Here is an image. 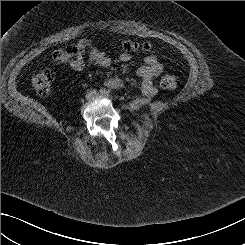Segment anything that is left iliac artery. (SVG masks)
<instances>
[{"instance_id":"obj_1","label":"left iliac artery","mask_w":245,"mask_h":245,"mask_svg":"<svg viewBox=\"0 0 245 245\" xmlns=\"http://www.w3.org/2000/svg\"><path fill=\"white\" fill-rule=\"evenodd\" d=\"M105 96H107V97L109 96V91H107V92L105 93Z\"/></svg>"}]
</instances>
